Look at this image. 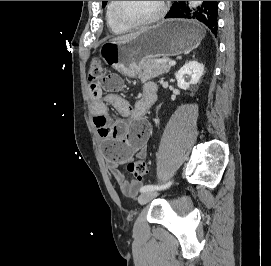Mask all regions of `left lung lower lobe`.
<instances>
[{"label":"left lung lower lobe","instance_id":"0a47b994","mask_svg":"<svg viewBox=\"0 0 271 266\" xmlns=\"http://www.w3.org/2000/svg\"><path fill=\"white\" fill-rule=\"evenodd\" d=\"M217 1H203L201 7L195 12H190L185 1L175 2L165 18H188L196 19L204 23L215 35H217Z\"/></svg>","mask_w":271,"mask_h":266}]
</instances>
